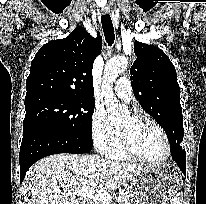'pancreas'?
<instances>
[{"label":"pancreas","mask_w":206,"mask_h":204,"mask_svg":"<svg viewBox=\"0 0 206 204\" xmlns=\"http://www.w3.org/2000/svg\"><path fill=\"white\" fill-rule=\"evenodd\" d=\"M120 195L123 196V199L119 201V204H132V195L128 189L121 191Z\"/></svg>","instance_id":"cf45deb5"}]
</instances>
